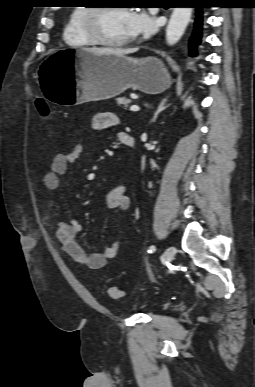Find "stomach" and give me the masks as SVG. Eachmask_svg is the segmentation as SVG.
<instances>
[{
	"label": "stomach",
	"instance_id": "1",
	"mask_svg": "<svg viewBox=\"0 0 255 387\" xmlns=\"http://www.w3.org/2000/svg\"><path fill=\"white\" fill-rule=\"evenodd\" d=\"M39 65L35 82H41L50 104L60 108H80L83 102L108 99L128 88L158 94L171 85L168 71L155 57L102 55L61 46Z\"/></svg>",
	"mask_w": 255,
	"mask_h": 387
}]
</instances>
